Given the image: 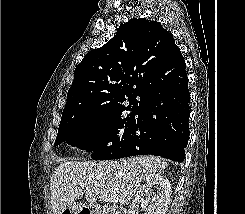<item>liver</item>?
I'll return each mask as SVG.
<instances>
[{"label":"liver","mask_w":245,"mask_h":214,"mask_svg":"<svg viewBox=\"0 0 245 214\" xmlns=\"http://www.w3.org/2000/svg\"><path fill=\"white\" fill-rule=\"evenodd\" d=\"M167 162L153 156H138L108 162L65 161L51 176L53 214H62L74 201L85 198L90 204L103 194L116 195L127 205L149 174L161 172ZM79 183L85 184L83 188Z\"/></svg>","instance_id":"1"}]
</instances>
